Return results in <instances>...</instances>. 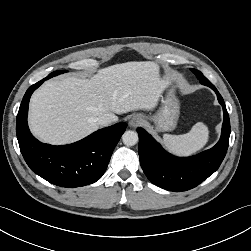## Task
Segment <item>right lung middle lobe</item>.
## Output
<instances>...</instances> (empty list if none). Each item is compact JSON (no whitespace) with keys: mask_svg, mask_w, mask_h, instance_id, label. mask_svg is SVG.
<instances>
[{"mask_svg":"<svg viewBox=\"0 0 251 251\" xmlns=\"http://www.w3.org/2000/svg\"><path fill=\"white\" fill-rule=\"evenodd\" d=\"M64 72H66V71H65V70L55 71V72H53V73L49 74V75L47 76V79H49V78H51V77H53V76H56V75L62 74V73H64Z\"/></svg>","mask_w":251,"mask_h":251,"instance_id":"1","label":"right lung middle lobe"}]
</instances>
